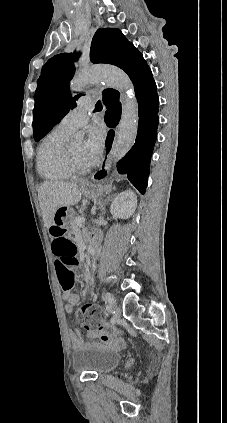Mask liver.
Masks as SVG:
<instances>
[{
	"mask_svg": "<svg viewBox=\"0 0 227 423\" xmlns=\"http://www.w3.org/2000/svg\"><path fill=\"white\" fill-rule=\"evenodd\" d=\"M39 206L46 227L53 223L55 211L61 206H75L81 200L78 184L43 182L38 188Z\"/></svg>",
	"mask_w": 227,
	"mask_h": 423,
	"instance_id": "obj_1",
	"label": "liver"
}]
</instances>
